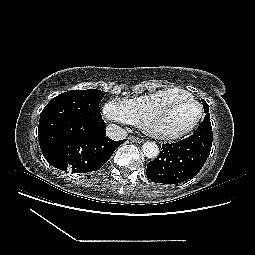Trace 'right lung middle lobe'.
Segmentation results:
<instances>
[{
    "instance_id": "1",
    "label": "right lung middle lobe",
    "mask_w": 255,
    "mask_h": 255,
    "mask_svg": "<svg viewBox=\"0 0 255 255\" xmlns=\"http://www.w3.org/2000/svg\"><path fill=\"white\" fill-rule=\"evenodd\" d=\"M104 94L97 89L71 90L53 98L40 115L38 139L41 150L49 149L71 128L102 121L99 102Z\"/></svg>"
}]
</instances>
